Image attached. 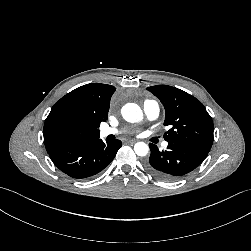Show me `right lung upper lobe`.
Segmentation results:
<instances>
[{"label": "right lung upper lobe", "instance_id": "right-lung-upper-lobe-1", "mask_svg": "<svg viewBox=\"0 0 251 251\" xmlns=\"http://www.w3.org/2000/svg\"><path fill=\"white\" fill-rule=\"evenodd\" d=\"M115 90L112 85L91 83L74 89L55 103L44 124L47 152L68 140L58 137L54 131L56 122L61 118H71L81 125L82 134L75 139L99 136L98 128L102 121L107 120L110 98Z\"/></svg>", "mask_w": 251, "mask_h": 251}]
</instances>
